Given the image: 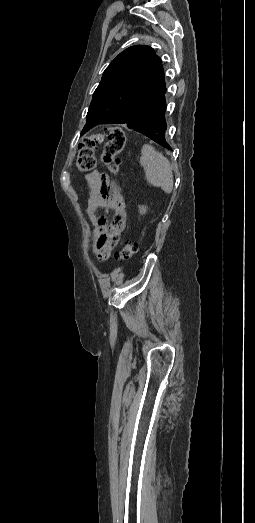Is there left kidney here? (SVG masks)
I'll return each instance as SVG.
<instances>
[{
    "label": "left kidney",
    "mask_w": 255,
    "mask_h": 523,
    "mask_svg": "<svg viewBox=\"0 0 255 523\" xmlns=\"http://www.w3.org/2000/svg\"><path fill=\"white\" fill-rule=\"evenodd\" d=\"M147 208L146 206H139V214H146Z\"/></svg>",
    "instance_id": "1"
}]
</instances>
